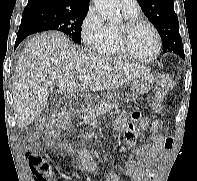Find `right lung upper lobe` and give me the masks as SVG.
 I'll return each mask as SVG.
<instances>
[{
  "mask_svg": "<svg viewBox=\"0 0 197 181\" xmlns=\"http://www.w3.org/2000/svg\"><path fill=\"white\" fill-rule=\"evenodd\" d=\"M33 8H56L67 10H88L89 0H28L24 10Z\"/></svg>",
  "mask_w": 197,
  "mask_h": 181,
  "instance_id": "1",
  "label": "right lung upper lobe"
}]
</instances>
